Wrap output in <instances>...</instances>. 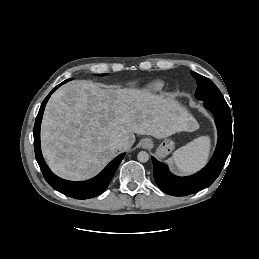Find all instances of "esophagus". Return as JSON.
Returning <instances> with one entry per match:
<instances>
[{
  "mask_svg": "<svg viewBox=\"0 0 259 259\" xmlns=\"http://www.w3.org/2000/svg\"><path fill=\"white\" fill-rule=\"evenodd\" d=\"M140 144L142 148L148 149L152 146V141L150 139H143Z\"/></svg>",
  "mask_w": 259,
  "mask_h": 259,
  "instance_id": "1",
  "label": "esophagus"
}]
</instances>
